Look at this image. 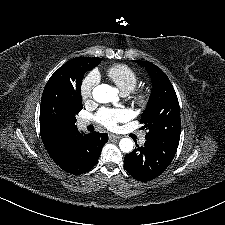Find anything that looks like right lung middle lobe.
<instances>
[{
	"instance_id": "1",
	"label": "right lung middle lobe",
	"mask_w": 225,
	"mask_h": 225,
	"mask_svg": "<svg viewBox=\"0 0 225 225\" xmlns=\"http://www.w3.org/2000/svg\"><path fill=\"white\" fill-rule=\"evenodd\" d=\"M101 58H87L84 66L64 79L46 84L40 105V124L49 130H68L76 127L75 115L82 108L81 83L86 71L97 66Z\"/></svg>"
}]
</instances>
